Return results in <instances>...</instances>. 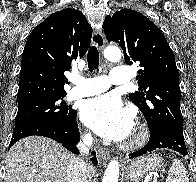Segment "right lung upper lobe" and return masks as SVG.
<instances>
[{"mask_svg":"<svg viewBox=\"0 0 196 182\" xmlns=\"http://www.w3.org/2000/svg\"><path fill=\"white\" fill-rule=\"evenodd\" d=\"M92 28L82 12H55L30 33L22 55L18 105L66 95L64 71L81 59L90 46Z\"/></svg>","mask_w":196,"mask_h":182,"instance_id":"cb5924a9","label":"right lung upper lobe"}]
</instances>
